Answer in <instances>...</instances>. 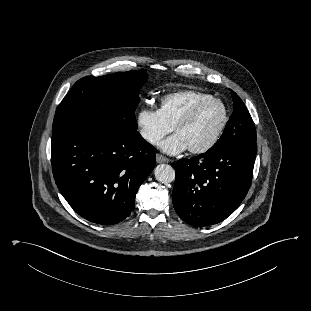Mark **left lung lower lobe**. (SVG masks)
I'll list each match as a JSON object with an SVG mask.
<instances>
[{"label": "left lung lower lobe", "mask_w": 311, "mask_h": 311, "mask_svg": "<svg viewBox=\"0 0 311 311\" xmlns=\"http://www.w3.org/2000/svg\"><path fill=\"white\" fill-rule=\"evenodd\" d=\"M256 152V143L240 142L178 160L172 201L179 217L200 227L231 215L251 185Z\"/></svg>", "instance_id": "0a47b994"}]
</instances>
